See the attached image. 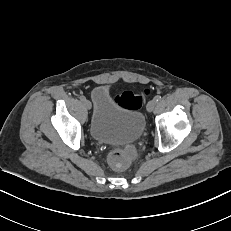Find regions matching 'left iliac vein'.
Returning a JSON list of instances; mask_svg holds the SVG:
<instances>
[{
	"mask_svg": "<svg viewBox=\"0 0 231 231\" xmlns=\"http://www.w3.org/2000/svg\"><path fill=\"white\" fill-rule=\"evenodd\" d=\"M156 103H157L156 100H154V99L150 100L147 104V110L149 112H152L156 106Z\"/></svg>",
	"mask_w": 231,
	"mask_h": 231,
	"instance_id": "obj_1",
	"label": "left iliac vein"
}]
</instances>
